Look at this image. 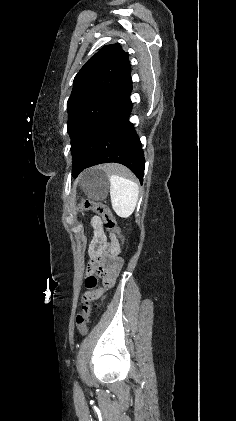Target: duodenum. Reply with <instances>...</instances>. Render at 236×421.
Instances as JSON below:
<instances>
[{"mask_svg": "<svg viewBox=\"0 0 236 421\" xmlns=\"http://www.w3.org/2000/svg\"><path fill=\"white\" fill-rule=\"evenodd\" d=\"M121 262L115 256H105L103 263V281L105 286H110L114 275L120 270Z\"/></svg>", "mask_w": 236, "mask_h": 421, "instance_id": "duodenum-1", "label": "duodenum"}]
</instances>
